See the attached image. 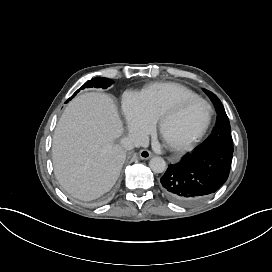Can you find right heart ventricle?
<instances>
[{
  "mask_svg": "<svg viewBox=\"0 0 272 272\" xmlns=\"http://www.w3.org/2000/svg\"><path fill=\"white\" fill-rule=\"evenodd\" d=\"M189 89L173 83L154 84L140 92L137 98L142 109L152 118L161 117L163 112L170 114V109L181 98L194 97Z\"/></svg>",
  "mask_w": 272,
  "mask_h": 272,
  "instance_id": "right-heart-ventricle-1",
  "label": "right heart ventricle"
}]
</instances>
